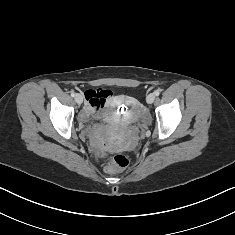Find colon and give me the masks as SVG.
I'll use <instances>...</instances> for the list:
<instances>
[{"label":"colon","instance_id":"colon-1","mask_svg":"<svg viewBox=\"0 0 235 235\" xmlns=\"http://www.w3.org/2000/svg\"><path fill=\"white\" fill-rule=\"evenodd\" d=\"M107 99H108V94H105L102 97V101L104 102ZM104 158L107 160V164L104 168L105 171H107V172H119V171L125 169L129 164V160H128L127 156H125L123 154H116L110 158L105 156Z\"/></svg>","mask_w":235,"mask_h":235}]
</instances>
